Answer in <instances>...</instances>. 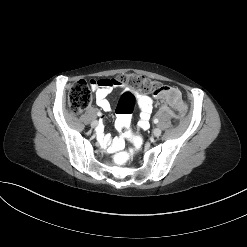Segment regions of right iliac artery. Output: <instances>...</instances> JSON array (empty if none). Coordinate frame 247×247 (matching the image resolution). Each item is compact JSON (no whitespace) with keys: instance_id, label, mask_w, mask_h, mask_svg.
Here are the masks:
<instances>
[{"instance_id":"obj_1","label":"right iliac artery","mask_w":247,"mask_h":247,"mask_svg":"<svg viewBox=\"0 0 247 247\" xmlns=\"http://www.w3.org/2000/svg\"><path fill=\"white\" fill-rule=\"evenodd\" d=\"M98 116H101V113L100 112L98 113Z\"/></svg>"}]
</instances>
